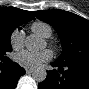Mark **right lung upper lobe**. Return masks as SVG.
Listing matches in <instances>:
<instances>
[{
  "label": "right lung upper lobe",
  "instance_id": "1",
  "mask_svg": "<svg viewBox=\"0 0 89 89\" xmlns=\"http://www.w3.org/2000/svg\"><path fill=\"white\" fill-rule=\"evenodd\" d=\"M34 12L21 10L14 7L0 8V21H7L10 24L19 27L20 25L34 20Z\"/></svg>",
  "mask_w": 89,
  "mask_h": 89
}]
</instances>
